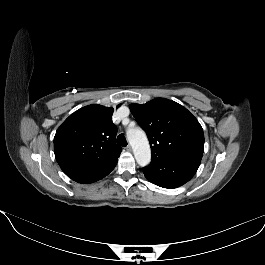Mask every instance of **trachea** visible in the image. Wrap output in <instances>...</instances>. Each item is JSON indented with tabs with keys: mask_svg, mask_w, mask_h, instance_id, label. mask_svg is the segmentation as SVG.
<instances>
[{
	"mask_svg": "<svg viewBox=\"0 0 265 265\" xmlns=\"http://www.w3.org/2000/svg\"><path fill=\"white\" fill-rule=\"evenodd\" d=\"M117 143L122 146V147H126L127 146V141H126V138L123 134H120L118 137H117Z\"/></svg>",
	"mask_w": 265,
	"mask_h": 265,
	"instance_id": "3493384b",
	"label": "trachea"
}]
</instances>
